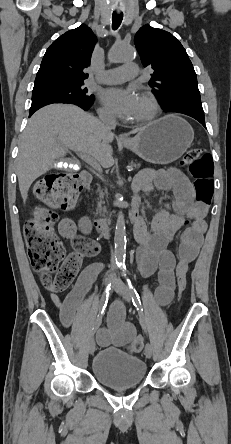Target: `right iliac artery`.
Returning a JSON list of instances; mask_svg holds the SVG:
<instances>
[{
    "mask_svg": "<svg viewBox=\"0 0 231 444\" xmlns=\"http://www.w3.org/2000/svg\"><path fill=\"white\" fill-rule=\"evenodd\" d=\"M111 287V283L108 284L107 288L105 289V291L102 294V298L100 301V306H101V312L98 314L97 319L95 324L93 325L92 329H91V337L94 336L96 330L99 328V326L102 323V317L104 315V311L106 309L107 303H108V299H109V291Z\"/></svg>",
    "mask_w": 231,
    "mask_h": 444,
    "instance_id": "1",
    "label": "right iliac artery"
}]
</instances>
